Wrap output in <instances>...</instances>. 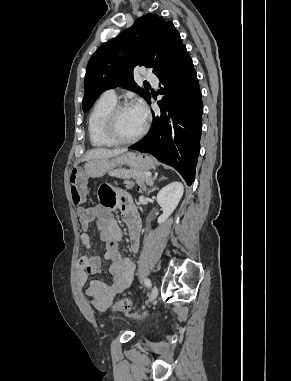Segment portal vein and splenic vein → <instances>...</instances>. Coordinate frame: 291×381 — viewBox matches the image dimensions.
Here are the masks:
<instances>
[{
    "label": "portal vein and splenic vein",
    "instance_id": "obj_1",
    "mask_svg": "<svg viewBox=\"0 0 291 381\" xmlns=\"http://www.w3.org/2000/svg\"><path fill=\"white\" fill-rule=\"evenodd\" d=\"M146 176L147 177H152V174L148 172V173H146Z\"/></svg>",
    "mask_w": 291,
    "mask_h": 381
}]
</instances>
